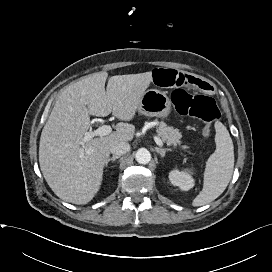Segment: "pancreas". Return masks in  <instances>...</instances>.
I'll list each match as a JSON object with an SVG mask.
<instances>
[{
    "instance_id": "cf45deb5",
    "label": "pancreas",
    "mask_w": 272,
    "mask_h": 272,
    "mask_svg": "<svg viewBox=\"0 0 272 272\" xmlns=\"http://www.w3.org/2000/svg\"><path fill=\"white\" fill-rule=\"evenodd\" d=\"M157 134L161 137L162 141L167 145H172L174 147L180 146L182 149H187L188 146H181V137L182 134L178 129H174L173 127L167 126L165 123L161 122L157 126Z\"/></svg>"
}]
</instances>
